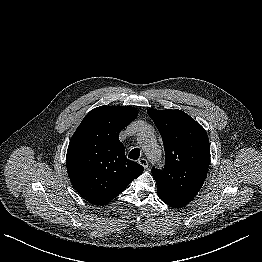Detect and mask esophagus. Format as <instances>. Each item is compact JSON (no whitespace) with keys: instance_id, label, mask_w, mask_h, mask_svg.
Masks as SVG:
<instances>
[{"instance_id":"1","label":"esophagus","mask_w":262,"mask_h":262,"mask_svg":"<svg viewBox=\"0 0 262 262\" xmlns=\"http://www.w3.org/2000/svg\"><path fill=\"white\" fill-rule=\"evenodd\" d=\"M139 164H141L145 169L148 168V161L145 158H140L138 160Z\"/></svg>"}]
</instances>
